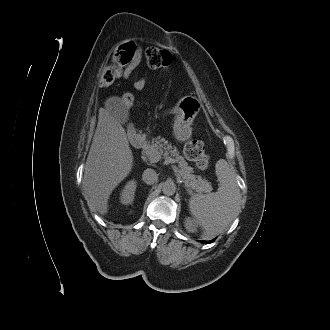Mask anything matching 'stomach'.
Returning <instances> with one entry per match:
<instances>
[{
    "instance_id": "0dacf381",
    "label": "stomach",
    "mask_w": 330,
    "mask_h": 330,
    "mask_svg": "<svg viewBox=\"0 0 330 330\" xmlns=\"http://www.w3.org/2000/svg\"><path fill=\"white\" fill-rule=\"evenodd\" d=\"M202 103L195 96H184L176 104L173 112L176 115L174 135L179 142L188 141L192 136L191 123L199 113Z\"/></svg>"
}]
</instances>
